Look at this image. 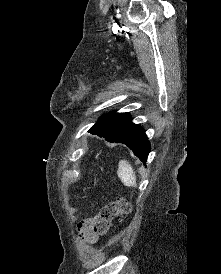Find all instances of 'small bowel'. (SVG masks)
Returning a JSON list of instances; mask_svg holds the SVG:
<instances>
[{
	"label": "small bowel",
	"mask_w": 221,
	"mask_h": 274,
	"mask_svg": "<svg viewBox=\"0 0 221 274\" xmlns=\"http://www.w3.org/2000/svg\"><path fill=\"white\" fill-rule=\"evenodd\" d=\"M99 219L97 217L87 219L79 225L80 236L83 241L91 244L96 243L98 240V226Z\"/></svg>",
	"instance_id": "small-bowel-1"
}]
</instances>
